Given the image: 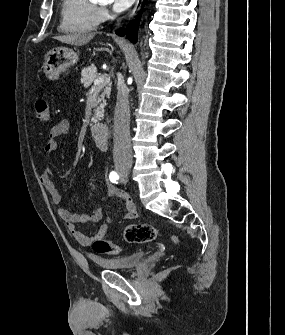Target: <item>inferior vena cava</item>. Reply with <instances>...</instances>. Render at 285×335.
<instances>
[{
    "label": "inferior vena cava",
    "mask_w": 285,
    "mask_h": 335,
    "mask_svg": "<svg viewBox=\"0 0 285 335\" xmlns=\"http://www.w3.org/2000/svg\"><path fill=\"white\" fill-rule=\"evenodd\" d=\"M117 76V104L114 114V152L118 160L132 164L128 90L124 84L123 76L121 74H117Z\"/></svg>",
    "instance_id": "1"
}]
</instances>
